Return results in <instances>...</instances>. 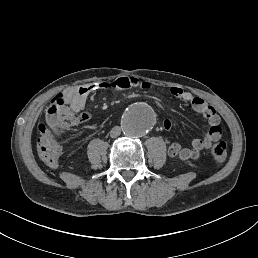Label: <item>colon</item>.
<instances>
[{
  "instance_id": "colon-1",
  "label": "colon",
  "mask_w": 258,
  "mask_h": 258,
  "mask_svg": "<svg viewBox=\"0 0 258 258\" xmlns=\"http://www.w3.org/2000/svg\"><path fill=\"white\" fill-rule=\"evenodd\" d=\"M85 121L84 116L76 115L70 111L62 110L58 116V125L60 128L73 129ZM39 138L37 140L38 154L43 162L57 165L61 155V147L58 143L54 130L45 124L38 127ZM211 153L214 160L221 164L226 160L227 145L224 142H217L211 147Z\"/></svg>"
}]
</instances>
